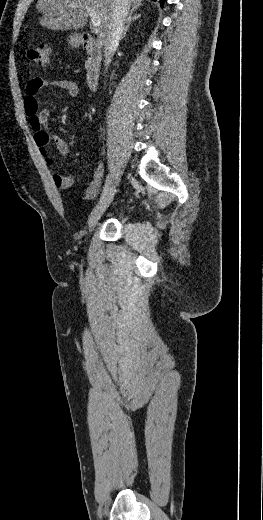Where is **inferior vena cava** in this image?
Masks as SVG:
<instances>
[{"label": "inferior vena cava", "mask_w": 263, "mask_h": 520, "mask_svg": "<svg viewBox=\"0 0 263 520\" xmlns=\"http://www.w3.org/2000/svg\"><path fill=\"white\" fill-rule=\"evenodd\" d=\"M130 9L129 0H114V8L111 16V23L103 42L104 46V63L106 70L111 63L114 51L121 40L126 17Z\"/></svg>", "instance_id": "1"}]
</instances>
